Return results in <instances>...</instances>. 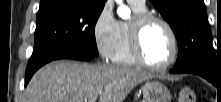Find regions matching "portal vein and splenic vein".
<instances>
[{
  "mask_svg": "<svg viewBox=\"0 0 221 102\" xmlns=\"http://www.w3.org/2000/svg\"><path fill=\"white\" fill-rule=\"evenodd\" d=\"M96 99H97V97H93V98H91V100H89V101H90V102H95Z\"/></svg>",
  "mask_w": 221,
  "mask_h": 102,
  "instance_id": "obj_1",
  "label": "portal vein and splenic vein"
}]
</instances>
